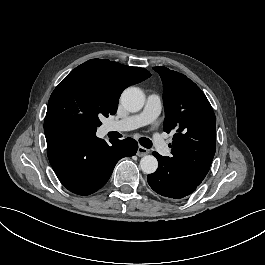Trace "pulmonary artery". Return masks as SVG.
<instances>
[{
    "label": "pulmonary artery",
    "instance_id": "1",
    "mask_svg": "<svg viewBox=\"0 0 265 265\" xmlns=\"http://www.w3.org/2000/svg\"><path fill=\"white\" fill-rule=\"evenodd\" d=\"M161 99L159 95L152 93L146 96V106L142 113L126 117L120 121H111L107 124L110 131H129L150 123L159 115Z\"/></svg>",
    "mask_w": 265,
    "mask_h": 265
}]
</instances>
